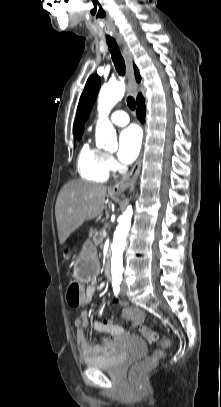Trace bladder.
<instances>
[{
	"mask_svg": "<svg viewBox=\"0 0 221 407\" xmlns=\"http://www.w3.org/2000/svg\"><path fill=\"white\" fill-rule=\"evenodd\" d=\"M137 349L141 353H145L147 350L146 344L139 338H133ZM127 355L120 350L116 349L107 356L97 359L85 360V365L88 367L100 369L103 371H117L122 364L126 361Z\"/></svg>",
	"mask_w": 221,
	"mask_h": 407,
	"instance_id": "31cf9c89",
	"label": "bladder"
}]
</instances>
